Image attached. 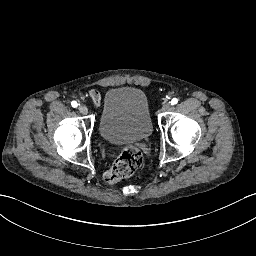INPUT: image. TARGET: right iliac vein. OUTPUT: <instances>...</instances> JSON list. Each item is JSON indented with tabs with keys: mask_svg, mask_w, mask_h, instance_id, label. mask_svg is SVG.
<instances>
[{
	"mask_svg": "<svg viewBox=\"0 0 256 256\" xmlns=\"http://www.w3.org/2000/svg\"><path fill=\"white\" fill-rule=\"evenodd\" d=\"M79 112H80L81 114H83V115H86V114L88 113V109H87V107H86L85 105H81V106L79 107Z\"/></svg>",
	"mask_w": 256,
	"mask_h": 256,
	"instance_id": "right-iliac-vein-1",
	"label": "right iliac vein"
}]
</instances>
